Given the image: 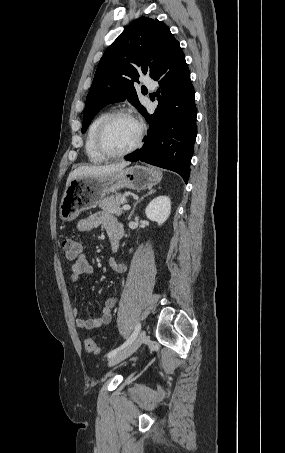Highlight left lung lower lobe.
Listing matches in <instances>:
<instances>
[{
  "label": "left lung lower lobe",
  "mask_w": 285,
  "mask_h": 453,
  "mask_svg": "<svg viewBox=\"0 0 285 453\" xmlns=\"http://www.w3.org/2000/svg\"><path fill=\"white\" fill-rule=\"evenodd\" d=\"M153 79L159 84V104L152 115L146 109L142 111L150 126L145 144L124 158L172 170L187 183L197 135V110L190 72L179 44Z\"/></svg>",
  "instance_id": "left-lung-lower-lobe-1"
}]
</instances>
